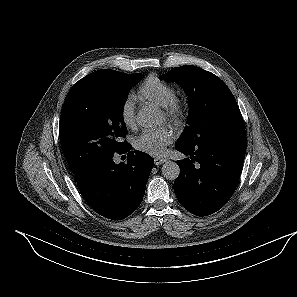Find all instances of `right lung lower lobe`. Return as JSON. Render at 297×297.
Returning <instances> with one entry per match:
<instances>
[{
	"mask_svg": "<svg viewBox=\"0 0 297 297\" xmlns=\"http://www.w3.org/2000/svg\"><path fill=\"white\" fill-rule=\"evenodd\" d=\"M130 149L128 144L118 153H127V163L116 164L113 155L93 161L75 174L85 201L108 219H124L137 209L154 165L148 154Z\"/></svg>",
	"mask_w": 297,
	"mask_h": 297,
	"instance_id": "1",
	"label": "right lung lower lobe"
}]
</instances>
